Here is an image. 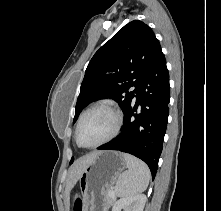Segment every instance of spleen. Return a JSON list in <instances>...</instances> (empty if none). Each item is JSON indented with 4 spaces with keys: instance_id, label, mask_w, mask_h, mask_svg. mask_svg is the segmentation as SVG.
<instances>
[{
    "instance_id": "1",
    "label": "spleen",
    "mask_w": 221,
    "mask_h": 211,
    "mask_svg": "<svg viewBox=\"0 0 221 211\" xmlns=\"http://www.w3.org/2000/svg\"><path fill=\"white\" fill-rule=\"evenodd\" d=\"M128 170L123 172L116 183L118 197L138 195L146 190L151 177L148 166L138 158L123 154Z\"/></svg>"
}]
</instances>
